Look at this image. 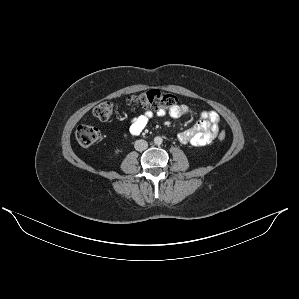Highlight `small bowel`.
Masks as SVG:
<instances>
[{
	"label": "small bowel",
	"instance_id": "obj_1",
	"mask_svg": "<svg viewBox=\"0 0 299 299\" xmlns=\"http://www.w3.org/2000/svg\"><path fill=\"white\" fill-rule=\"evenodd\" d=\"M193 113V109L185 104L175 106L170 109L168 114L173 118H179L183 115ZM164 111L156 113L145 111L133 117L128 122V131L132 135H139L154 116H163ZM220 116L215 111H201L199 113V121L191 128L178 134V140L181 144H189L195 147L210 144L217 136L219 131Z\"/></svg>",
	"mask_w": 299,
	"mask_h": 299
}]
</instances>
